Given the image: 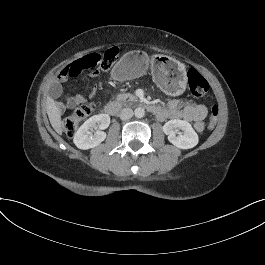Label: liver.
<instances>
[{
	"instance_id": "obj_1",
	"label": "liver",
	"mask_w": 265,
	"mask_h": 265,
	"mask_svg": "<svg viewBox=\"0 0 265 265\" xmlns=\"http://www.w3.org/2000/svg\"><path fill=\"white\" fill-rule=\"evenodd\" d=\"M46 111L52 128L59 136H62L61 111L55 100L50 96L46 97Z\"/></svg>"
}]
</instances>
